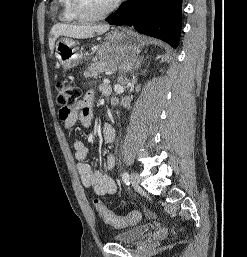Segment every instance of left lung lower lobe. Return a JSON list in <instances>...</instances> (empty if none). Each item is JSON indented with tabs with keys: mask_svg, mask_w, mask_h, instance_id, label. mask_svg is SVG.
Listing matches in <instances>:
<instances>
[{
	"mask_svg": "<svg viewBox=\"0 0 247 257\" xmlns=\"http://www.w3.org/2000/svg\"><path fill=\"white\" fill-rule=\"evenodd\" d=\"M182 0H129L108 16L113 25L134 26L137 32L178 46Z\"/></svg>",
	"mask_w": 247,
	"mask_h": 257,
	"instance_id": "1",
	"label": "left lung lower lobe"
}]
</instances>
